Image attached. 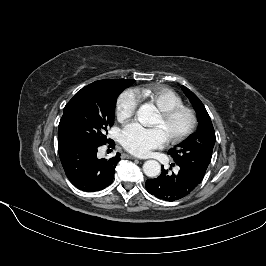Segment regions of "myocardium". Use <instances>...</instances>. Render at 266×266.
I'll return each mask as SVG.
<instances>
[{
    "instance_id": "obj_1",
    "label": "myocardium",
    "mask_w": 266,
    "mask_h": 266,
    "mask_svg": "<svg viewBox=\"0 0 266 266\" xmlns=\"http://www.w3.org/2000/svg\"><path fill=\"white\" fill-rule=\"evenodd\" d=\"M182 113H185L188 116L189 123L186 129L181 134L177 136L169 137V140L173 143H180L184 141L194 132L197 126L196 112L191 107H188L185 105L173 107V108L162 110L159 112V115L165 120H170Z\"/></svg>"
}]
</instances>
